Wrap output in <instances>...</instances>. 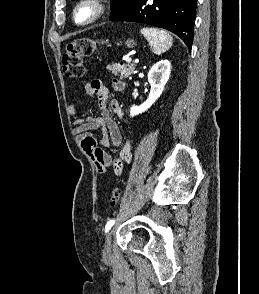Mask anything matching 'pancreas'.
Returning <instances> with one entry per match:
<instances>
[{"instance_id":"pancreas-1","label":"pancreas","mask_w":259,"mask_h":294,"mask_svg":"<svg viewBox=\"0 0 259 294\" xmlns=\"http://www.w3.org/2000/svg\"><path fill=\"white\" fill-rule=\"evenodd\" d=\"M135 64H119L115 63L107 66V70L111 72L113 75H120V79L128 78L134 71Z\"/></svg>"}]
</instances>
